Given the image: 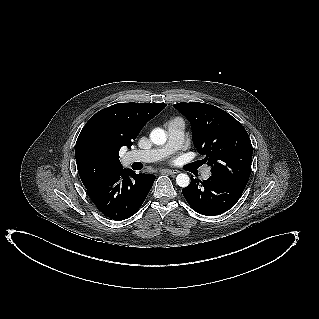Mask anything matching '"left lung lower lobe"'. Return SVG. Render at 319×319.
<instances>
[{
    "label": "left lung lower lobe",
    "instance_id": "obj_1",
    "mask_svg": "<svg viewBox=\"0 0 319 319\" xmlns=\"http://www.w3.org/2000/svg\"><path fill=\"white\" fill-rule=\"evenodd\" d=\"M243 191V188L214 175L201 183L192 179L189 186L182 189L192 209L207 216L228 211L236 204Z\"/></svg>",
    "mask_w": 319,
    "mask_h": 319
}]
</instances>
